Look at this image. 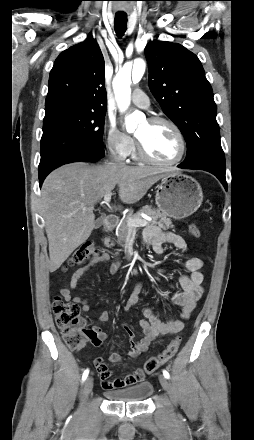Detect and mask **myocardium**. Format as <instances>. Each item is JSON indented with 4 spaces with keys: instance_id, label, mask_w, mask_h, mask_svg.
I'll return each instance as SVG.
<instances>
[{
    "instance_id": "f54148a6",
    "label": "myocardium",
    "mask_w": 254,
    "mask_h": 440,
    "mask_svg": "<svg viewBox=\"0 0 254 440\" xmlns=\"http://www.w3.org/2000/svg\"><path fill=\"white\" fill-rule=\"evenodd\" d=\"M148 122L151 124H166V125L170 126L175 131L176 135L178 136V139L180 142V152H179L178 156L172 161L164 162V161L157 160V159L153 158L147 152L142 141L136 136L137 154H138L139 158L149 164L157 165V166H161V167H170V166H174V165L179 164L184 159L186 151H187L186 138H185L182 130L180 129V127L171 119L166 118V117H161V116L151 117L148 119Z\"/></svg>"
}]
</instances>
